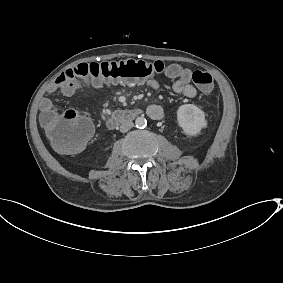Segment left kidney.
<instances>
[{
	"label": "left kidney",
	"instance_id": "left-kidney-1",
	"mask_svg": "<svg viewBox=\"0 0 283 283\" xmlns=\"http://www.w3.org/2000/svg\"><path fill=\"white\" fill-rule=\"evenodd\" d=\"M177 122L182 133L189 138L200 136L208 127L205 113L194 104L181 105L177 110Z\"/></svg>",
	"mask_w": 283,
	"mask_h": 283
}]
</instances>
